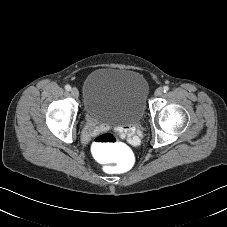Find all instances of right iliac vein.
Here are the masks:
<instances>
[{"mask_svg": "<svg viewBox=\"0 0 227 227\" xmlns=\"http://www.w3.org/2000/svg\"><path fill=\"white\" fill-rule=\"evenodd\" d=\"M71 95H72L74 98H78V96H79V91H78V89H77L76 87H73V88L71 89Z\"/></svg>", "mask_w": 227, "mask_h": 227, "instance_id": "right-iliac-vein-1", "label": "right iliac vein"}]
</instances>
